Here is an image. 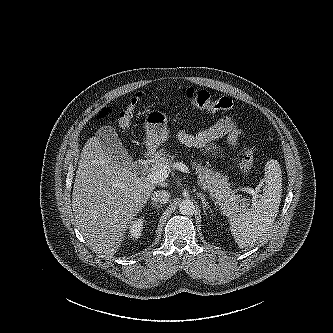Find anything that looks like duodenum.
<instances>
[{
    "label": "duodenum",
    "mask_w": 333,
    "mask_h": 333,
    "mask_svg": "<svg viewBox=\"0 0 333 333\" xmlns=\"http://www.w3.org/2000/svg\"><path fill=\"white\" fill-rule=\"evenodd\" d=\"M152 160H151V156L148 154L146 155L144 158L138 160L136 163H135V170L137 172H144L146 171L150 164H151Z\"/></svg>",
    "instance_id": "duodenum-1"
}]
</instances>
